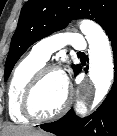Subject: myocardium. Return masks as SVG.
Returning <instances> with one entry per match:
<instances>
[{"label": "myocardium", "mask_w": 117, "mask_h": 136, "mask_svg": "<svg viewBox=\"0 0 117 136\" xmlns=\"http://www.w3.org/2000/svg\"><path fill=\"white\" fill-rule=\"evenodd\" d=\"M53 72H58L61 74L63 73L62 70L58 66L45 65L34 74V76L29 81L28 85L26 86L23 92L22 100H21V112L28 119H31L35 122L52 121L59 118L62 114H64L69 108V106L71 105L73 95H72V91L70 87L67 85L65 100L63 104L61 105V107L55 113L49 116H39L34 113L32 109L33 95L37 87L39 86V84L43 81V79Z\"/></svg>", "instance_id": "f54148a6"}]
</instances>
